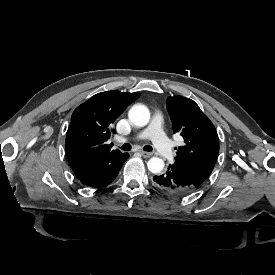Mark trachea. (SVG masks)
I'll list each match as a JSON object with an SVG mask.
<instances>
[{
    "label": "trachea",
    "instance_id": "1",
    "mask_svg": "<svg viewBox=\"0 0 275 275\" xmlns=\"http://www.w3.org/2000/svg\"><path fill=\"white\" fill-rule=\"evenodd\" d=\"M120 148H121L122 150L129 151V150H131V145L128 144V143H125V144H123ZM144 150H145V151H148V152H151V151L153 150V148H152L150 145H146V146L144 147Z\"/></svg>",
    "mask_w": 275,
    "mask_h": 275
}]
</instances>
